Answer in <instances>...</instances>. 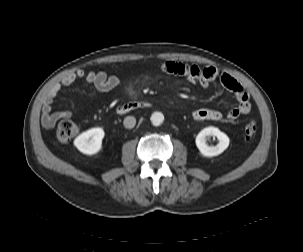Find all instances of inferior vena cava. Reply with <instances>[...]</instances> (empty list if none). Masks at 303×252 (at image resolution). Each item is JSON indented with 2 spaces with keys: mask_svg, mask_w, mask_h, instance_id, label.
Listing matches in <instances>:
<instances>
[{
  "mask_svg": "<svg viewBox=\"0 0 303 252\" xmlns=\"http://www.w3.org/2000/svg\"><path fill=\"white\" fill-rule=\"evenodd\" d=\"M123 124L125 126V128H133L136 124V119L133 116H127L124 121Z\"/></svg>",
  "mask_w": 303,
  "mask_h": 252,
  "instance_id": "602c4592",
  "label": "inferior vena cava"
}]
</instances>
